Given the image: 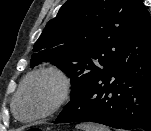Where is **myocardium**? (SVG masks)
<instances>
[{
    "mask_svg": "<svg viewBox=\"0 0 151 131\" xmlns=\"http://www.w3.org/2000/svg\"><path fill=\"white\" fill-rule=\"evenodd\" d=\"M52 78L58 86V93L54 101L43 111L28 117H23L26 120H38L48 117L57 112L70 98L72 85L70 77L65 71L55 66H46L38 68L29 73L22 81L18 91L13 98V111L17 117H22L19 113V100L26 88L36 79Z\"/></svg>",
    "mask_w": 151,
    "mask_h": 131,
    "instance_id": "obj_1",
    "label": "myocardium"
}]
</instances>
